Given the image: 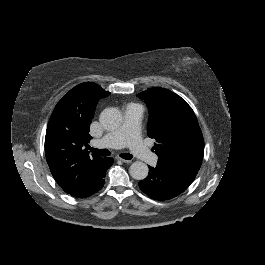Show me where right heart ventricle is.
Listing matches in <instances>:
<instances>
[{
	"label": "right heart ventricle",
	"instance_id": "e07e8e85",
	"mask_svg": "<svg viewBox=\"0 0 265 265\" xmlns=\"http://www.w3.org/2000/svg\"><path fill=\"white\" fill-rule=\"evenodd\" d=\"M130 105H132V106H136L135 104H130ZM129 106V105H128Z\"/></svg>",
	"mask_w": 265,
	"mask_h": 265
}]
</instances>
